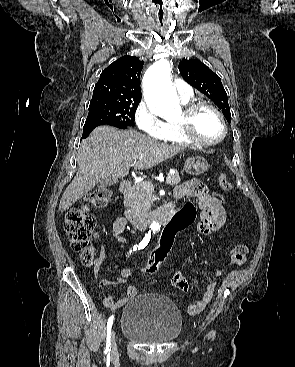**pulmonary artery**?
<instances>
[{
    "instance_id": "pulmonary-artery-1",
    "label": "pulmonary artery",
    "mask_w": 295,
    "mask_h": 367,
    "mask_svg": "<svg viewBox=\"0 0 295 367\" xmlns=\"http://www.w3.org/2000/svg\"><path fill=\"white\" fill-rule=\"evenodd\" d=\"M175 88L177 90V93L179 95V98L183 102H188L193 98V90L189 84L184 82L181 79L175 80Z\"/></svg>"
}]
</instances>
